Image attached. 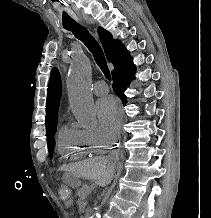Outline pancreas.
Here are the masks:
<instances>
[{"label": "pancreas", "mask_w": 211, "mask_h": 218, "mask_svg": "<svg viewBox=\"0 0 211 218\" xmlns=\"http://www.w3.org/2000/svg\"><path fill=\"white\" fill-rule=\"evenodd\" d=\"M80 190H76V195H90L91 194V186H80Z\"/></svg>", "instance_id": "pancreas-1"}]
</instances>
